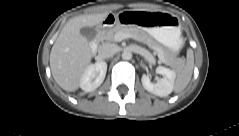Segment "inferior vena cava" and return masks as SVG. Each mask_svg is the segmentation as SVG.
<instances>
[{
  "label": "inferior vena cava",
  "mask_w": 239,
  "mask_h": 136,
  "mask_svg": "<svg viewBox=\"0 0 239 136\" xmlns=\"http://www.w3.org/2000/svg\"><path fill=\"white\" fill-rule=\"evenodd\" d=\"M118 51V46L111 43L102 44L98 49V56L101 59H108Z\"/></svg>",
  "instance_id": "inferior-vena-cava-1"
}]
</instances>
